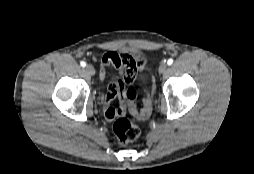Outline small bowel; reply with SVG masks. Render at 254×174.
<instances>
[{
    "instance_id": "obj_1",
    "label": "small bowel",
    "mask_w": 254,
    "mask_h": 174,
    "mask_svg": "<svg viewBox=\"0 0 254 174\" xmlns=\"http://www.w3.org/2000/svg\"><path fill=\"white\" fill-rule=\"evenodd\" d=\"M146 58L138 52L117 53L109 52L105 54L101 60L100 77L105 79L108 77L110 67L117 70V74L110 77L108 92L103 98V107L105 117L113 119L116 117L114 107L110 104L119 98H124V85L126 82L133 81L144 69Z\"/></svg>"
}]
</instances>
